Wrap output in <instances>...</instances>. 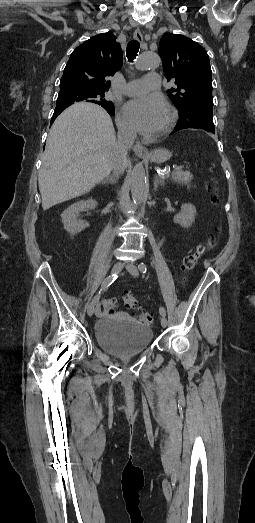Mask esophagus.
<instances>
[{"mask_svg": "<svg viewBox=\"0 0 255 523\" xmlns=\"http://www.w3.org/2000/svg\"><path fill=\"white\" fill-rule=\"evenodd\" d=\"M134 38L138 40V42H142L143 36L139 29L134 31ZM133 151L139 157H146L149 154L148 148L145 145H142L141 143H135Z\"/></svg>", "mask_w": 255, "mask_h": 523, "instance_id": "1", "label": "esophagus"}]
</instances>
